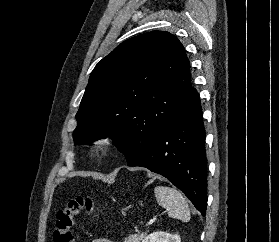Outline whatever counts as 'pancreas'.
I'll return each instance as SVG.
<instances>
[{"label":"pancreas","mask_w":279,"mask_h":242,"mask_svg":"<svg viewBox=\"0 0 279 242\" xmlns=\"http://www.w3.org/2000/svg\"><path fill=\"white\" fill-rule=\"evenodd\" d=\"M145 233H137V234H133L128 236L127 238H125L124 242H141L143 240V238L145 237Z\"/></svg>","instance_id":"obj_1"}]
</instances>
